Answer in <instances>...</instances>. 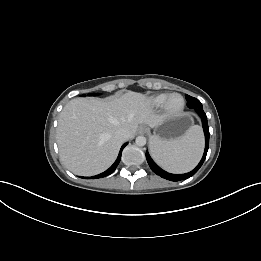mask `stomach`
<instances>
[{
	"label": "stomach",
	"instance_id": "stomach-1",
	"mask_svg": "<svg viewBox=\"0 0 261 261\" xmlns=\"http://www.w3.org/2000/svg\"><path fill=\"white\" fill-rule=\"evenodd\" d=\"M192 123L193 119L188 113L166 117L154 127L152 138L160 140L176 139L182 136L191 127Z\"/></svg>",
	"mask_w": 261,
	"mask_h": 261
}]
</instances>
